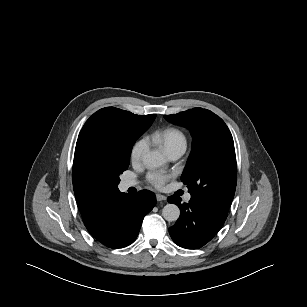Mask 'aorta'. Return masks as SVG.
<instances>
[{
	"instance_id": "762f6f07",
	"label": "aorta",
	"mask_w": 307,
	"mask_h": 307,
	"mask_svg": "<svg viewBox=\"0 0 307 307\" xmlns=\"http://www.w3.org/2000/svg\"><path fill=\"white\" fill-rule=\"evenodd\" d=\"M143 162L147 167L156 168L165 163V158L159 151L153 150L144 155ZM162 215L169 222L176 221L180 216V209L175 204H167L162 209Z\"/></svg>"
}]
</instances>
